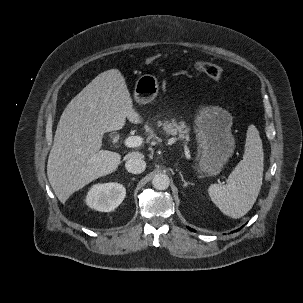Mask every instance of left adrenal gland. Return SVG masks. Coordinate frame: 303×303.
Wrapping results in <instances>:
<instances>
[{
    "mask_svg": "<svg viewBox=\"0 0 303 303\" xmlns=\"http://www.w3.org/2000/svg\"><path fill=\"white\" fill-rule=\"evenodd\" d=\"M179 174H180L181 180L183 182L184 188L187 187L188 185H192V183L185 181V179L183 178V175H182L181 171L179 172Z\"/></svg>",
    "mask_w": 303,
    "mask_h": 303,
    "instance_id": "obj_1",
    "label": "left adrenal gland"
}]
</instances>
